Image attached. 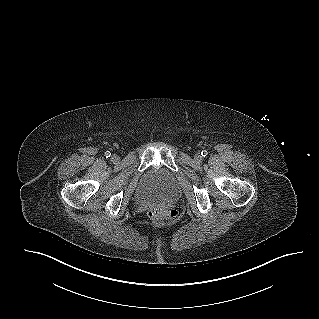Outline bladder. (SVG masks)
I'll use <instances>...</instances> for the list:
<instances>
[{
    "label": "bladder",
    "instance_id": "31cf9c89",
    "mask_svg": "<svg viewBox=\"0 0 319 319\" xmlns=\"http://www.w3.org/2000/svg\"><path fill=\"white\" fill-rule=\"evenodd\" d=\"M179 185L173 173L158 167L141 179L136 192L137 200L147 205L160 204L176 197Z\"/></svg>",
    "mask_w": 319,
    "mask_h": 319
}]
</instances>
